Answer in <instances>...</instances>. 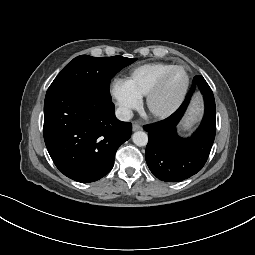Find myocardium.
Listing matches in <instances>:
<instances>
[{
  "label": "myocardium",
  "mask_w": 255,
  "mask_h": 255,
  "mask_svg": "<svg viewBox=\"0 0 255 255\" xmlns=\"http://www.w3.org/2000/svg\"><path fill=\"white\" fill-rule=\"evenodd\" d=\"M181 69L185 72L186 74V82L185 85L176 98V100L167 108L164 110H159L154 107V101L156 97L160 94V92L163 90L166 81L168 80L169 76L175 71ZM190 75L186 67L182 65H174L172 68H170L168 71H166L160 78L159 80L155 83V85L150 89V91L146 95V106L148 111L156 118H167L171 116L173 113H175L178 108L181 106L183 103L187 92L189 90L190 86Z\"/></svg>",
  "instance_id": "1"
}]
</instances>
